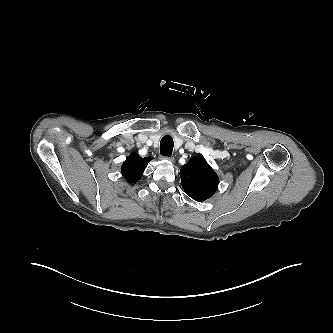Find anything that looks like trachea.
<instances>
[{
	"instance_id": "3493384b",
	"label": "trachea",
	"mask_w": 333,
	"mask_h": 333,
	"mask_svg": "<svg viewBox=\"0 0 333 333\" xmlns=\"http://www.w3.org/2000/svg\"><path fill=\"white\" fill-rule=\"evenodd\" d=\"M174 142L170 135H165L160 142V153L170 157L173 151Z\"/></svg>"
}]
</instances>
